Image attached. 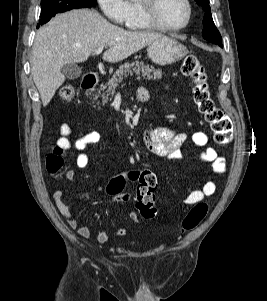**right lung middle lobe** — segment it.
<instances>
[{
  "label": "right lung middle lobe",
  "instance_id": "right-lung-middle-lobe-1",
  "mask_svg": "<svg viewBox=\"0 0 267 301\" xmlns=\"http://www.w3.org/2000/svg\"><path fill=\"white\" fill-rule=\"evenodd\" d=\"M95 6L96 0H42L39 24L42 25L47 23L52 17L60 12L78 8H92Z\"/></svg>",
  "mask_w": 267,
  "mask_h": 301
}]
</instances>
